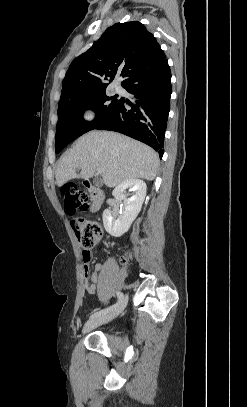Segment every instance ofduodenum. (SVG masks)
Returning a JSON list of instances; mask_svg holds the SVG:
<instances>
[{
  "instance_id": "obj_1",
  "label": "duodenum",
  "mask_w": 247,
  "mask_h": 407,
  "mask_svg": "<svg viewBox=\"0 0 247 407\" xmlns=\"http://www.w3.org/2000/svg\"><path fill=\"white\" fill-rule=\"evenodd\" d=\"M83 185L87 188V190L89 191V194L91 196V212H95L99 209V207L101 206V204L103 203V201L105 200V193L96 188L94 186V184L89 181V180H83L82 181Z\"/></svg>"
}]
</instances>
